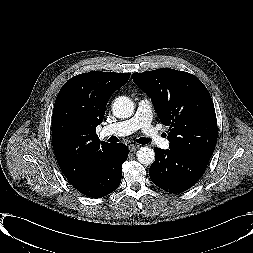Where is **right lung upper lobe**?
I'll list each match as a JSON object with an SVG mask.
<instances>
[{"mask_svg":"<svg viewBox=\"0 0 253 253\" xmlns=\"http://www.w3.org/2000/svg\"><path fill=\"white\" fill-rule=\"evenodd\" d=\"M130 73L91 71L68 80L56 98L52 116V144L56 160L77 186L111 145L100 142L96 126L102 122L110 96Z\"/></svg>","mask_w":253,"mask_h":253,"instance_id":"right-lung-upper-lobe-1","label":"right lung upper lobe"}]
</instances>
